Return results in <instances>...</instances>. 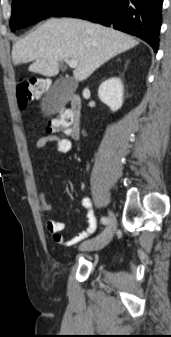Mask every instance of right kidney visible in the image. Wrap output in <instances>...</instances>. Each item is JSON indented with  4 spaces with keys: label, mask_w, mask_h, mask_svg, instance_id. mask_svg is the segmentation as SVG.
Instances as JSON below:
<instances>
[{
    "label": "right kidney",
    "mask_w": 171,
    "mask_h": 337,
    "mask_svg": "<svg viewBox=\"0 0 171 337\" xmlns=\"http://www.w3.org/2000/svg\"><path fill=\"white\" fill-rule=\"evenodd\" d=\"M99 99L113 112L121 108L123 104V84L119 78H111L104 81L98 90Z\"/></svg>",
    "instance_id": "1"
}]
</instances>
